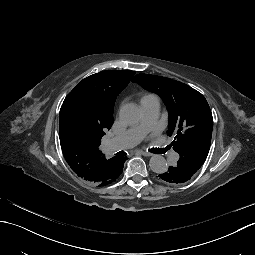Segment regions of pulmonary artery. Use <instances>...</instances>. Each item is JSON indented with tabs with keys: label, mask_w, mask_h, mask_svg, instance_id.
Instances as JSON below:
<instances>
[{
	"label": "pulmonary artery",
	"mask_w": 255,
	"mask_h": 255,
	"mask_svg": "<svg viewBox=\"0 0 255 255\" xmlns=\"http://www.w3.org/2000/svg\"><path fill=\"white\" fill-rule=\"evenodd\" d=\"M142 111V121L145 130L150 131L152 129L159 130L161 128V122L156 120L159 115L160 105L158 100L144 102L140 105ZM143 136V129L132 128L124 133L108 140L106 142V152L108 155H112L118 151L128 149L135 146L141 140ZM167 159L175 163L178 161V154L170 150L166 154Z\"/></svg>",
	"instance_id": "obj_1"
}]
</instances>
